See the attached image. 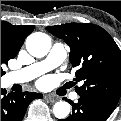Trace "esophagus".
<instances>
[{"label":"esophagus","mask_w":121,"mask_h":121,"mask_svg":"<svg viewBox=\"0 0 121 121\" xmlns=\"http://www.w3.org/2000/svg\"><path fill=\"white\" fill-rule=\"evenodd\" d=\"M45 99L51 103H54L57 101V98L52 94H46Z\"/></svg>","instance_id":"34e87169"}]
</instances>
